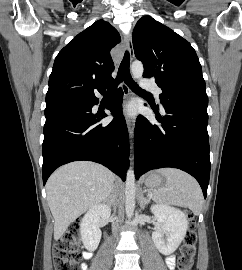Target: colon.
Segmentation results:
<instances>
[{
	"mask_svg": "<svg viewBox=\"0 0 242 270\" xmlns=\"http://www.w3.org/2000/svg\"><path fill=\"white\" fill-rule=\"evenodd\" d=\"M79 236L80 225L73 223L57 241L54 249L55 270H77L81 261V254L78 250ZM196 242L197 236L192 221L180 249L177 260L178 270H191L196 252Z\"/></svg>",
	"mask_w": 242,
	"mask_h": 270,
	"instance_id": "5ec220e1",
	"label": "colon"
}]
</instances>
